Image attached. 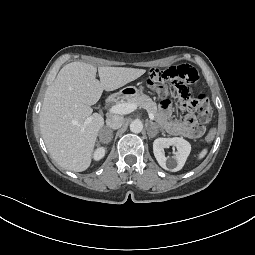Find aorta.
<instances>
[{
	"label": "aorta",
	"mask_w": 255,
	"mask_h": 255,
	"mask_svg": "<svg viewBox=\"0 0 255 255\" xmlns=\"http://www.w3.org/2000/svg\"><path fill=\"white\" fill-rule=\"evenodd\" d=\"M143 129V124L140 120H133L130 123V130L133 133H140Z\"/></svg>",
	"instance_id": "aorta-1"
}]
</instances>
